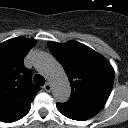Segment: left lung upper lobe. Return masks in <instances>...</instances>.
<instances>
[{
	"label": "left lung upper lobe",
	"instance_id": "left-lung-upper-lobe-1",
	"mask_svg": "<svg viewBox=\"0 0 128 128\" xmlns=\"http://www.w3.org/2000/svg\"><path fill=\"white\" fill-rule=\"evenodd\" d=\"M48 46L69 78L72 87L69 102L103 107L114 82L115 73L111 64L79 42H49Z\"/></svg>",
	"mask_w": 128,
	"mask_h": 128
}]
</instances>
